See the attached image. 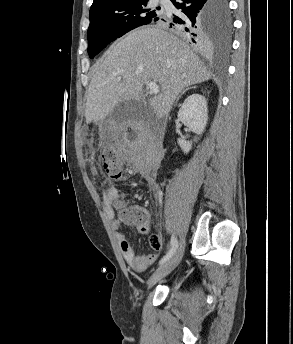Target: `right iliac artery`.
<instances>
[{
  "label": "right iliac artery",
  "instance_id": "obj_1",
  "mask_svg": "<svg viewBox=\"0 0 293 344\" xmlns=\"http://www.w3.org/2000/svg\"><path fill=\"white\" fill-rule=\"evenodd\" d=\"M171 247L168 253L160 260L159 264L162 265L165 263L167 260H169L173 254L176 252V249L178 248V242L175 236L172 235L171 241H170Z\"/></svg>",
  "mask_w": 293,
  "mask_h": 344
}]
</instances>
